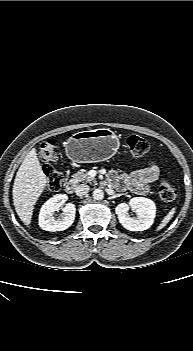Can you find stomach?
<instances>
[{"instance_id": "obj_1", "label": "stomach", "mask_w": 193, "mask_h": 351, "mask_svg": "<svg viewBox=\"0 0 193 351\" xmlns=\"http://www.w3.org/2000/svg\"><path fill=\"white\" fill-rule=\"evenodd\" d=\"M120 146L117 135L102 128L73 134L65 143L66 154L77 163H95L111 158Z\"/></svg>"}]
</instances>
